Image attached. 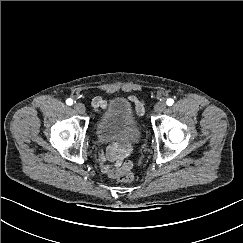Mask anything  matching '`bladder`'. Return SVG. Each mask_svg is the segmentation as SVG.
<instances>
[{
	"label": "bladder",
	"mask_w": 243,
	"mask_h": 243,
	"mask_svg": "<svg viewBox=\"0 0 243 243\" xmlns=\"http://www.w3.org/2000/svg\"><path fill=\"white\" fill-rule=\"evenodd\" d=\"M142 129L131 103L122 97L112 99L95 125V137L101 143L127 139L141 140Z\"/></svg>",
	"instance_id": "obj_1"
}]
</instances>
